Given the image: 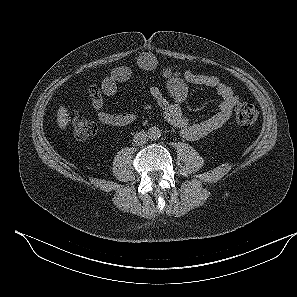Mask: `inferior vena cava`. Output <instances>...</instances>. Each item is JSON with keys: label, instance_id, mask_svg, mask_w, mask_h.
I'll return each instance as SVG.
<instances>
[{"label": "inferior vena cava", "instance_id": "602c4592", "mask_svg": "<svg viewBox=\"0 0 297 297\" xmlns=\"http://www.w3.org/2000/svg\"><path fill=\"white\" fill-rule=\"evenodd\" d=\"M149 135L145 131L137 132L133 137V142L137 146H142L147 143Z\"/></svg>", "mask_w": 297, "mask_h": 297}]
</instances>
